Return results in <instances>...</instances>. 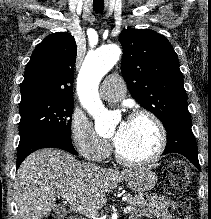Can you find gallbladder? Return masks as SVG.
<instances>
[{"instance_id":"obj_1","label":"gallbladder","mask_w":211,"mask_h":219,"mask_svg":"<svg viewBox=\"0 0 211 219\" xmlns=\"http://www.w3.org/2000/svg\"><path fill=\"white\" fill-rule=\"evenodd\" d=\"M55 212H56L57 214H59V215H64V214L66 213V210H65L63 207H61V206H57V207L55 208Z\"/></svg>"}]
</instances>
